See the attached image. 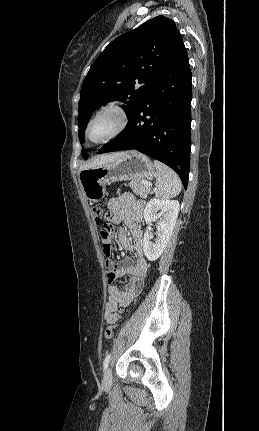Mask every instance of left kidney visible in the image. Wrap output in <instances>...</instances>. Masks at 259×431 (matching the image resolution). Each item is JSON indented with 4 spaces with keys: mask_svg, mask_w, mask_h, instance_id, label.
I'll return each instance as SVG.
<instances>
[{
    "mask_svg": "<svg viewBox=\"0 0 259 431\" xmlns=\"http://www.w3.org/2000/svg\"><path fill=\"white\" fill-rule=\"evenodd\" d=\"M180 204L177 200H167L153 198L151 199L144 210V219L147 224H150L157 218V212L162 215L161 221L157 226V235L155 242H152L149 228L146 229L143 238L144 254L149 261L157 260L164 249L166 248L175 226Z\"/></svg>",
    "mask_w": 259,
    "mask_h": 431,
    "instance_id": "obj_1",
    "label": "left kidney"
}]
</instances>
